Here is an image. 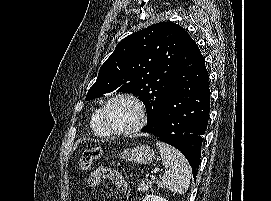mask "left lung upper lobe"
Returning <instances> with one entry per match:
<instances>
[{
  "mask_svg": "<svg viewBox=\"0 0 271 201\" xmlns=\"http://www.w3.org/2000/svg\"><path fill=\"white\" fill-rule=\"evenodd\" d=\"M184 32L175 23L160 22L124 38L100 68L86 100L114 91L135 94L146 108L145 127L156 126L179 65Z\"/></svg>",
  "mask_w": 271,
  "mask_h": 201,
  "instance_id": "1",
  "label": "left lung upper lobe"
}]
</instances>
